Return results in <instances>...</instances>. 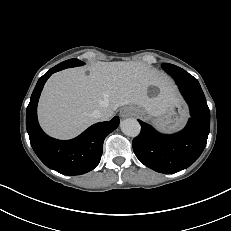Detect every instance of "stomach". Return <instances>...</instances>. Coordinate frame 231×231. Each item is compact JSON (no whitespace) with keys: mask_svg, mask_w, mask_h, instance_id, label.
<instances>
[{"mask_svg":"<svg viewBox=\"0 0 231 231\" xmlns=\"http://www.w3.org/2000/svg\"><path fill=\"white\" fill-rule=\"evenodd\" d=\"M134 113L138 115H145L146 112L138 107L132 106ZM152 119L153 123L159 129L163 131H175L179 129L187 119V109L186 106L181 102L178 101L174 105L168 108V110L158 117H149Z\"/></svg>","mask_w":231,"mask_h":231,"instance_id":"stomach-1","label":"stomach"}]
</instances>
